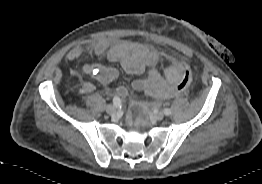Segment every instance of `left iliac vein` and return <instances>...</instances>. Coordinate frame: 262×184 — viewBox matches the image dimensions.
Listing matches in <instances>:
<instances>
[{
    "label": "left iliac vein",
    "instance_id": "left-iliac-vein-1",
    "mask_svg": "<svg viewBox=\"0 0 262 184\" xmlns=\"http://www.w3.org/2000/svg\"><path fill=\"white\" fill-rule=\"evenodd\" d=\"M151 117L156 121H161L164 118V114L162 112L152 113Z\"/></svg>",
    "mask_w": 262,
    "mask_h": 184
}]
</instances>
